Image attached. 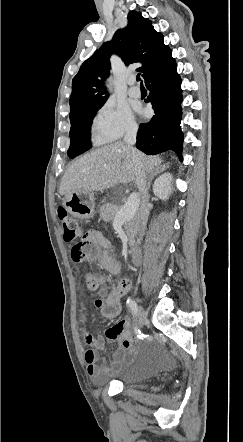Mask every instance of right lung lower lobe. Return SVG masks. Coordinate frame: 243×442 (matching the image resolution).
Segmentation results:
<instances>
[{
	"label": "right lung lower lobe",
	"instance_id": "obj_1",
	"mask_svg": "<svg viewBox=\"0 0 243 442\" xmlns=\"http://www.w3.org/2000/svg\"><path fill=\"white\" fill-rule=\"evenodd\" d=\"M155 115L148 123L140 124L136 147L146 154L172 150L182 159L181 79L170 51L163 61L145 78Z\"/></svg>",
	"mask_w": 243,
	"mask_h": 442
}]
</instances>
